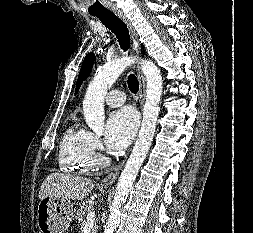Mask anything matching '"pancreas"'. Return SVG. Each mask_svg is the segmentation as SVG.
<instances>
[{
	"label": "pancreas",
	"instance_id": "1",
	"mask_svg": "<svg viewBox=\"0 0 253 233\" xmlns=\"http://www.w3.org/2000/svg\"><path fill=\"white\" fill-rule=\"evenodd\" d=\"M91 209H92L91 206L84 204L80 206V208L77 210L75 218L78 220L81 226H84L86 224L87 214L91 211ZM97 230H98V224L95 222L92 229V233H97Z\"/></svg>",
	"mask_w": 253,
	"mask_h": 233
}]
</instances>
